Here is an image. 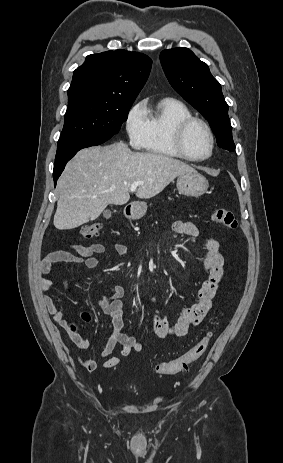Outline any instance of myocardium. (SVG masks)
I'll use <instances>...</instances> for the list:
<instances>
[{
	"instance_id": "obj_1",
	"label": "myocardium",
	"mask_w": 283,
	"mask_h": 463,
	"mask_svg": "<svg viewBox=\"0 0 283 463\" xmlns=\"http://www.w3.org/2000/svg\"><path fill=\"white\" fill-rule=\"evenodd\" d=\"M194 124L202 125L210 137V143H211L210 152L206 156H203V157L192 156L187 152L185 148L186 133L189 130V128L193 126ZM173 144H174L175 150L177 151V153L179 154L181 158L191 161V162H202V161L210 159L213 156L214 151H215L216 139H215L214 131L208 122H206L205 120L199 117L192 116L182 121L176 127L175 132H174V137H173Z\"/></svg>"
}]
</instances>
